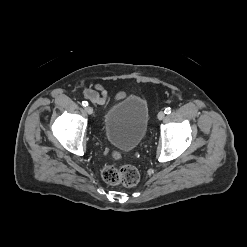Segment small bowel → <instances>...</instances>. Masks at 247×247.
<instances>
[{
    "label": "small bowel",
    "instance_id": "c3829d8e",
    "mask_svg": "<svg viewBox=\"0 0 247 247\" xmlns=\"http://www.w3.org/2000/svg\"><path fill=\"white\" fill-rule=\"evenodd\" d=\"M84 96L86 99L91 101L92 103L98 105V106H105L108 101V92L107 90L100 84H96L93 87L87 88L84 91ZM125 94L123 92L118 93L114 101L121 100Z\"/></svg>",
    "mask_w": 247,
    "mask_h": 247
}]
</instances>
